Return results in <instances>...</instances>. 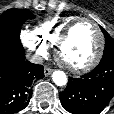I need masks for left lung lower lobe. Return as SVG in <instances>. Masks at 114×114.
I'll use <instances>...</instances> for the list:
<instances>
[{
  "mask_svg": "<svg viewBox=\"0 0 114 114\" xmlns=\"http://www.w3.org/2000/svg\"><path fill=\"white\" fill-rule=\"evenodd\" d=\"M114 95V60L100 61L98 66L81 78H69L60 92L62 106L73 114H97Z\"/></svg>",
  "mask_w": 114,
  "mask_h": 114,
  "instance_id": "0a47b994",
  "label": "left lung lower lobe"
}]
</instances>
